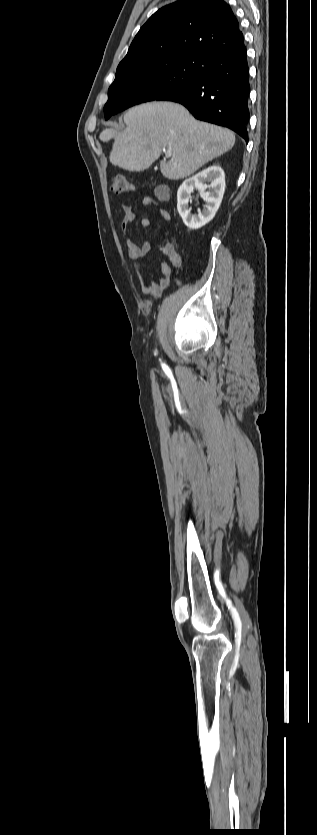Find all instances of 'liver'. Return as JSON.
<instances>
[{
  "instance_id": "6515ba94",
  "label": "liver",
  "mask_w": 317,
  "mask_h": 835,
  "mask_svg": "<svg viewBox=\"0 0 317 835\" xmlns=\"http://www.w3.org/2000/svg\"><path fill=\"white\" fill-rule=\"evenodd\" d=\"M124 122L126 128L122 132L107 128L99 136L103 142L114 139L111 164L129 171H142L166 149L171 159L162 160L160 170L170 180L190 176L235 143L232 131L197 121L185 107L173 102L154 101L135 106L125 113Z\"/></svg>"
}]
</instances>
